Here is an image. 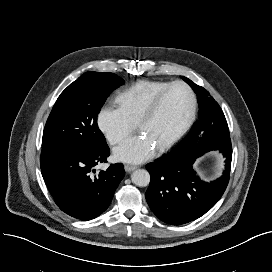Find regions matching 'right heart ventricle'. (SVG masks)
<instances>
[{"label":"right heart ventricle","instance_id":"1","mask_svg":"<svg viewBox=\"0 0 272 272\" xmlns=\"http://www.w3.org/2000/svg\"><path fill=\"white\" fill-rule=\"evenodd\" d=\"M169 83L160 80H139L120 91L116 103L131 122L137 123L152 99Z\"/></svg>","mask_w":272,"mask_h":272}]
</instances>
